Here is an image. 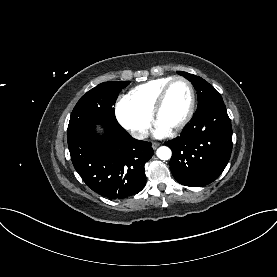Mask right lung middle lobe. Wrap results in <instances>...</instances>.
I'll return each instance as SVG.
<instances>
[{
	"label": "right lung middle lobe",
	"mask_w": 277,
	"mask_h": 277,
	"mask_svg": "<svg viewBox=\"0 0 277 277\" xmlns=\"http://www.w3.org/2000/svg\"><path fill=\"white\" fill-rule=\"evenodd\" d=\"M129 83L104 82L84 94L72 111L67 130L68 142L95 125H119L113 106L119 92Z\"/></svg>",
	"instance_id": "right-lung-middle-lobe-1"
}]
</instances>
